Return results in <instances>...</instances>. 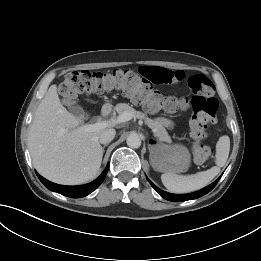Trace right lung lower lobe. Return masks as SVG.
Masks as SVG:
<instances>
[{
  "label": "right lung lower lobe",
  "mask_w": 261,
  "mask_h": 261,
  "mask_svg": "<svg viewBox=\"0 0 261 261\" xmlns=\"http://www.w3.org/2000/svg\"><path fill=\"white\" fill-rule=\"evenodd\" d=\"M109 165L105 168V170L102 172V174L93 182L85 184V185H80V186H63V185H58L55 183H52L48 181L47 179L43 178L40 176L37 172V176L39 180L51 191L57 192L59 194H62L64 196H68L71 198H80L84 197L91 192H93L104 180L107 172H108Z\"/></svg>",
  "instance_id": "98d812e1"
}]
</instances>
